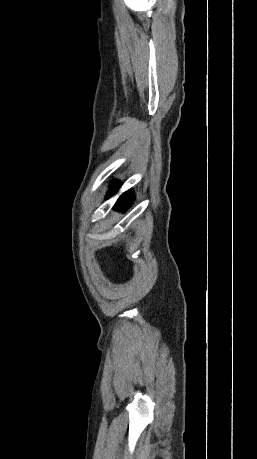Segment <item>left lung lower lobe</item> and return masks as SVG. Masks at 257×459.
I'll use <instances>...</instances> for the list:
<instances>
[{"label":"left lung lower lobe","mask_w":257,"mask_h":459,"mask_svg":"<svg viewBox=\"0 0 257 459\" xmlns=\"http://www.w3.org/2000/svg\"><path fill=\"white\" fill-rule=\"evenodd\" d=\"M119 188V184L116 182L111 186L109 196H112ZM133 200V194L130 191L123 193L116 203V207L119 209L127 208L131 205Z\"/></svg>","instance_id":"obj_1"}]
</instances>
